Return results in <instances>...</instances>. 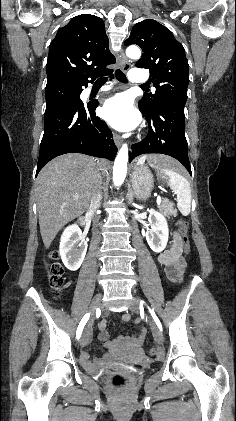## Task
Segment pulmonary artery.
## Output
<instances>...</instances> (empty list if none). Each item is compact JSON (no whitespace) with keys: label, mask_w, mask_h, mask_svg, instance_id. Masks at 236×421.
<instances>
[{"label":"pulmonary artery","mask_w":236,"mask_h":421,"mask_svg":"<svg viewBox=\"0 0 236 421\" xmlns=\"http://www.w3.org/2000/svg\"><path fill=\"white\" fill-rule=\"evenodd\" d=\"M130 76L131 79L130 81H132L136 86H145L147 83V80L145 78L146 76V71L142 70V69H132L130 71ZM114 88L113 84H107L105 86H103L99 92L103 93V92H107L110 91Z\"/></svg>","instance_id":"obj_1"}]
</instances>
